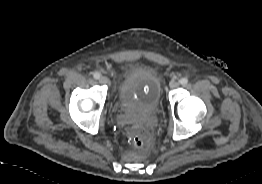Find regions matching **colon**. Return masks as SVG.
Wrapping results in <instances>:
<instances>
[{"instance_id": "1", "label": "colon", "mask_w": 262, "mask_h": 184, "mask_svg": "<svg viewBox=\"0 0 262 184\" xmlns=\"http://www.w3.org/2000/svg\"><path fill=\"white\" fill-rule=\"evenodd\" d=\"M132 141H133V144H134L136 147H142V146H144V144H145V140H144L142 137H140V136L134 137V138L132 139Z\"/></svg>"}]
</instances>
